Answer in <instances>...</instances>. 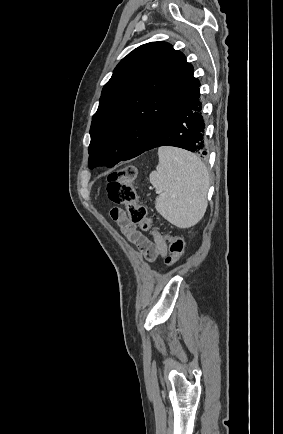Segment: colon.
<instances>
[{
	"label": "colon",
	"instance_id": "obj_1",
	"mask_svg": "<svg viewBox=\"0 0 283 434\" xmlns=\"http://www.w3.org/2000/svg\"><path fill=\"white\" fill-rule=\"evenodd\" d=\"M136 174L137 170L133 165L111 172L107 178V194L113 203L126 207L132 223L139 225L144 231H149L152 229V221L147 216L145 206L138 203L137 194L133 187ZM164 239L169 246L166 264L170 267L182 257L185 243L181 237L172 234H165Z\"/></svg>",
	"mask_w": 283,
	"mask_h": 434
}]
</instances>
